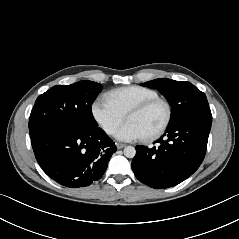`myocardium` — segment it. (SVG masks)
Returning a JSON list of instances; mask_svg holds the SVG:
<instances>
[{"label": "myocardium", "mask_w": 239, "mask_h": 239, "mask_svg": "<svg viewBox=\"0 0 239 239\" xmlns=\"http://www.w3.org/2000/svg\"><path fill=\"white\" fill-rule=\"evenodd\" d=\"M156 104H162L165 108V117L163 122L161 123V125L151 134L147 135L144 137L145 140H153L156 139L158 137H160L165 130L168 128L171 119H172V107L171 104L169 103L168 100L161 98V97H156L153 99H149L146 100L138 105H136L135 107H133L127 114V118L133 114H138V113H142L146 110H148L149 108L153 107Z\"/></svg>", "instance_id": "f54148a6"}]
</instances>
